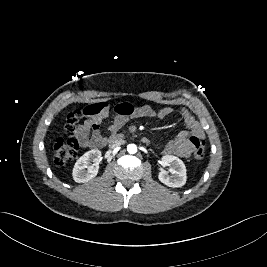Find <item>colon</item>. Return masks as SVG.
I'll list each match as a JSON object with an SVG mask.
<instances>
[{
  "label": "colon",
  "instance_id": "colon-1",
  "mask_svg": "<svg viewBox=\"0 0 267 267\" xmlns=\"http://www.w3.org/2000/svg\"><path fill=\"white\" fill-rule=\"evenodd\" d=\"M87 107L84 109H75L69 112L65 117L64 129L71 136L67 139L59 137L54 144V160L57 165H65L74 160L79 152L78 140L73 136L75 133L78 122L90 113ZM194 157L196 160L201 161L204 158L206 145L204 140L193 139Z\"/></svg>",
  "mask_w": 267,
  "mask_h": 267
}]
</instances>
